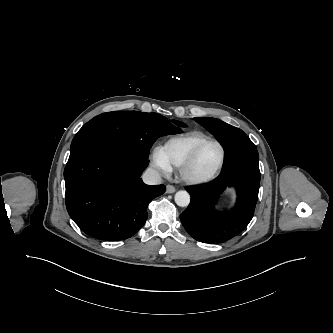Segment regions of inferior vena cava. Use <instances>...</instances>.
I'll return each instance as SVG.
<instances>
[{
	"instance_id": "obj_1",
	"label": "inferior vena cava",
	"mask_w": 333,
	"mask_h": 333,
	"mask_svg": "<svg viewBox=\"0 0 333 333\" xmlns=\"http://www.w3.org/2000/svg\"><path fill=\"white\" fill-rule=\"evenodd\" d=\"M142 179H143V182L148 185H157V184L162 183V179H161L159 173L152 168L147 169L143 173Z\"/></svg>"
}]
</instances>
